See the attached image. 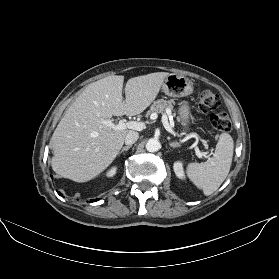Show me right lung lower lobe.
<instances>
[{"mask_svg":"<svg viewBox=\"0 0 279 279\" xmlns=\"http://www.w3.org/2000/svg\"><path fill=\"white\" fill-rule=\"evenodd\" d=\"M59 193V195H61V193L60 192H58ZM98 199H93V200H90V202H95V201H97Z\"/></svg>","mask_w":279,"mask_h":279,"instance_id":"98d812e1","label":"right lung lower lobe"}]
</instances>
